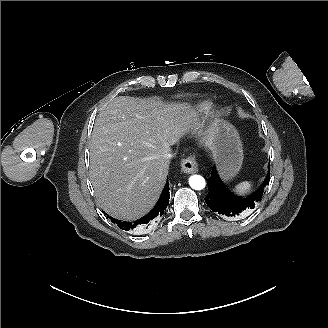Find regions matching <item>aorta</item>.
Instances as JSON below:
<instances>
[{
    "mask_svg": "<svg viewBox=\"0 0 328 328\" xmlns=\"http://www.w3.org/2000/svg\"><path fill=\"white\" fill-rule=\"evenodd\" d=\"M189 185L194 190H202L206 186L205 179L201 175H192L189 178Z\"/></svg>",
    "mask_w": 328,
    "mask_h": 328,
    "instance_id": "762f6f07",
    "label": "aorta"
}]
</instances>
